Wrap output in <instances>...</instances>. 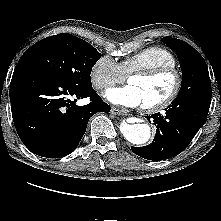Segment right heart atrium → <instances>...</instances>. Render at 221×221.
I'll use <instances>...</instances> for the list:
<instances>
[{
    "label": "right heart atrium",
    "instance_id": "1",
    "mask_svg": "<svg viewBox=\"0 0 221 221\" xmlns=\"http://www.w3.org/2000/svg\"><path fill=\"white\" fill-rule=\"evenodd\" d=\"M90 81L97 90L107 89L125 80L120 64L108 55L100 56L90 69Z\"/></svg>",
    "mask_w": 221,
    "mask_h": 221
}]
</instances>
